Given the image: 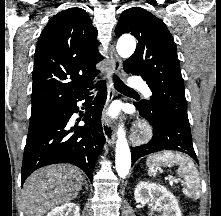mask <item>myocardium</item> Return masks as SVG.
Returning a JSON list of instances; mask_svg holds the SVG:
<instances>
[{"label": "myocardium", "mask_w": 221, "mask_h": 216, "mask_svg": "<svg viewBox=\"0 0 221 216\" xmlns=\"http://www.w3.org/2000/svg\"><path fill=\"white\" fill-rule=\"evenodd\" d=\"M152 132L151 126L147 123H140L137 125L135 131H134V135H133V139L136 142H141L146 140L148 137H150Z\"/></svg>", "instance_id": "f54148a6"}]
</instances>
